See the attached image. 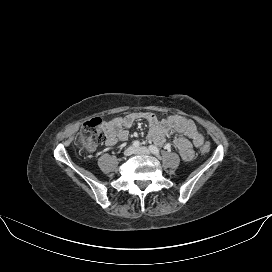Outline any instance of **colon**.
<instances>
[{
	"label": "colon",
	"instance_id": "obj_1",
	"mask_svg": "<svg viewBox=\"0 0 272 272\" xmlns=\"http://www.w3.org/2000/svg\"><path fill=\"white\" fill-rule=\"evenodd\" d=\"M104 138L105 134L101 127V120L93 118L82 126L75 138V143L79 147L90 148L102 142ZM201 151L203 153H208L210 151L209 143H205L201 147Z\"/></svg>",
	"mask_w": 272,
	"mask_h": 272
}]
</instances>
